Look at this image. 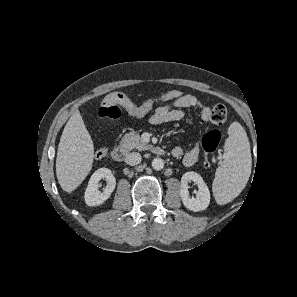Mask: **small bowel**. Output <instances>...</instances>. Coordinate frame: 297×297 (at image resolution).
I'll return each instance as SVG.
<instances>
[{
    "instance_id": "c3829d8e",
    "label": "small bowel",
    "mask_w": 297,
    "mask_h": 297,
    "mask_svg": "<svg viewBox=\"0 0 297 297\" xmlns=\"http://www.w3.org/2000/svg\"><path fill=\"white\" fill-rule=\"evenodd\" d=\"M122 106L126 111L134 117H143L148 114L152 109L145 110L142 105L132 104L130 107ZM197 109L200 112L201 119L206 122L210 116V108L205 105L197 96L191 94H184L180 98L164 103L157 106L154 112L150 116V123L154 125H160L169 122L179 121L185 116V109ZM171 154L174 157L183 156V164L187 167L195 165L200 157V145L196 143L185 154L181 147H175L172 149Z\"/></svg>"
}]
</instances>
